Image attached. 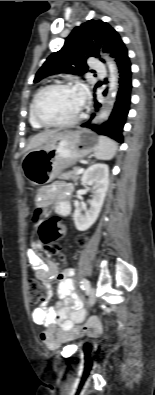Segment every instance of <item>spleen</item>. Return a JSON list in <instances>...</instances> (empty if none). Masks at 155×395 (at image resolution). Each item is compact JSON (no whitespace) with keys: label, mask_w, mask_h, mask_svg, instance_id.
<instances>
[{"label":"spleen","mask_w":155,"mask_h":395,"mask_svg":"<svg viewBox=\"0 0 155 395\" xmlns=\"http://www.w3.org/2000/svg\"><path fill=\"white\" fill-rule=\"evenodd\" d=\"M117 151L116 143L105 136L99 137L98 146L95 151V157L98 160H111Z\"/></svg>","instance_id":"obj_1"}]
</instances>
